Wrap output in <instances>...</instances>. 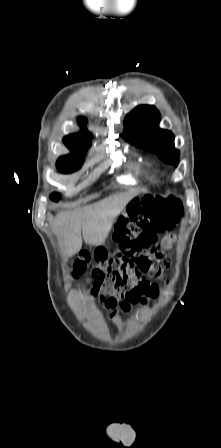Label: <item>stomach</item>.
<instances>
[{
	"label": "stomach",
	"mask_w": 221,
	"mask_h": 448,
	"mask_svg": "<svg viewBox=\"0 0 221 448\" xmlns=\"http://www.w3.org/2000/svg\"><path fill=\"white\" fill-rule=\"evenodd\" d=\"M130 205H131V202H129V203L127 204V206H126V211H129Z\"/></svg>",
	"instance_id": "1"
}]
</instances>
